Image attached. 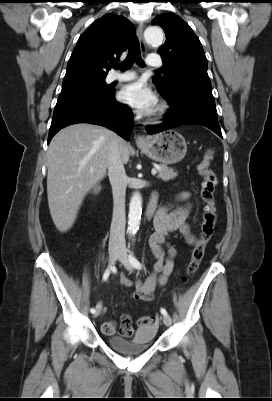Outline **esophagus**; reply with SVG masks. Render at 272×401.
Here are the masks:
<instances>
[{
  "label": "esophagus",
  "instance_id": "obj_1",
  "mask_svg": "<svg viewBox=\"0 0 272 401\" xmlns=\"http://www.w3.org/2000/svg\"><path fill=\"white\" fill-rule=\"evenodd\" d=\"M143 29H144V26H143L142 23H140L138 25V27H137L136 34H137V37H138V40H139V43H140L141 50L143 52H145L146 51V45H145V41H144V38H143ZM135 142H136L137 145H143V144H145L147 142V139L145 138L144 135H137L136 138H135Z\"/></svg>",
  "mask_w": 272,
  "mask_h": 401
}]
</instances>
